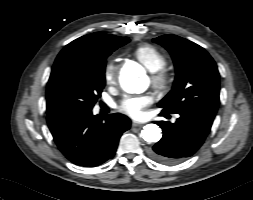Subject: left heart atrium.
Instances as JSON below:
<instances>
[{
  "label": "left heart atrium",
  "mask_w": 253,
  "mask_h": 200,
  "mask_svg": "<svg viewBox=\"0 0 253 200\" xmlns=\"http://www.w3.org/2000/svg\"><path fill=\"white\" fill-rule=\"evenodd\" d=\"M152 103V97L150 95H138L125 97L120 105L119 109L124 114L134 119H140L144 115L145 108Z\"/></svg>",
  "instance_id": "39dd6f15"
}]
</instances>
